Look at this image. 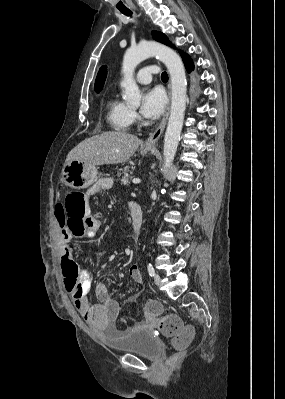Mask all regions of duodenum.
Wrapping results in <instances>:
<instances>
[{
    "instance_id": "obj_1",
    "label": "duodenum",
    "mask_w": 285,
    "mask_h": 399,
    "mask_svg": "<svg viewBox=\"0 0 285 399\" xmlns=\"http://www.w3.org/2000/svg\"><path fill=\"white\" fill-rule=\"evenodd\" d=\"M143 223L142 209L139 205H134L131 208V225L135 234V238H138V234L141 230Z\"/></svg>"
}]
</instances>
